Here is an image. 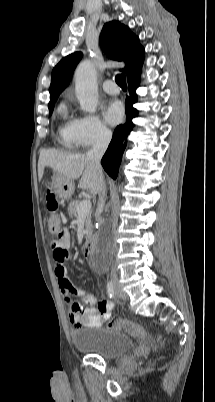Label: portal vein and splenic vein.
Segmentation results:
<instances>
[{"instance_id": "obj_1", "label": "portal vein and splenic vein", "mask_w": 215, "mask_h": 402, "mask_svg": "<svg viewBox=\"0 0 215 402\" xmlns=\"http://www.w3.org/2000/svg\"><path fill=\"white\" fill-rule=\"evenodd\" d=\"M90 209H91V201L87 199L83 200L77 208L78 216H85L90 212Z\"/></svg>"}]
</instances>
